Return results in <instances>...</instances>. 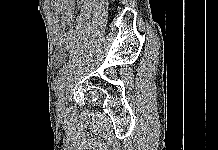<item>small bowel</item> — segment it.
<instances>
[{"instance_id":"1","label":"small bowel","mask_w":218,"mask_h":150,"mask_svg":"<svg viewBox=\"0 0 218 150\" xmlns=\"http://www.w3.org/2000/svg\"><path fill=\"white\" fill-rule=\"evenodd\" d=\"M54 20V38L55 43L58 45L56 51V62L60 63L65 57L64 48H70L74 46L75 35L72 30L66 29L70 25V15L69 14H55L53 16Z\"/></svg>"}]
</instances>
